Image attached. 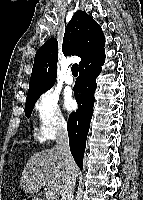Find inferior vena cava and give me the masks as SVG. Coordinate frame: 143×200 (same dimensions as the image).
<instances>
[{"label": "inferior vena cava", "mask_w": 143, "mask_h": 200, "mask_svg": "<svg viewBox=\"0 0 143 200\" xmlns=\"http://www.w3.org/2000/svg\"><path fill=\"white\" fill-rule=\"evenodd\" d=\"M55 148L64 157V165L67 170V175L61 191V200H74L76 172L74 168V160L69 147L67 124L64 120L60 121L57 125Z\"/></svg>", "instance_id": "1"}]
</instances>
